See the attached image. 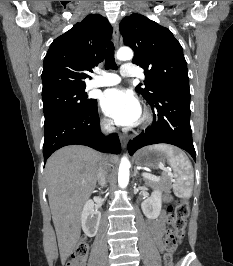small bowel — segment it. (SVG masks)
<instances>
[{"label": "small bowel", "mask_w": 233, "mask_h": 266, "mask_svg": "<svg viewBox=\"0 0 233 266\" xmlns=\"http://www.w3.org/2000/svg\"><path fill=\"white\" fill-rule=\"evenodd\" d=\"M148 228L157 243V245L162 247V238L165 232V215L162 213L156 219H149L147 221Z\"/></svg>", "instance_id": "obj_1"}]
</instances>
